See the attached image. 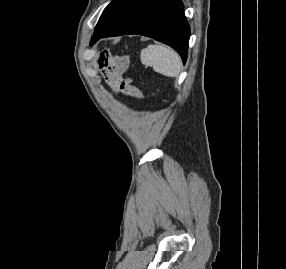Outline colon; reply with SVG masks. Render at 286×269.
Masks as SVG:
<instances>
[{"mask_svg":"<svg viewBox=\"0 0 286 269\" xmlns=\"http://www.w3.org/2000/svg\"><path fill=\"white\" fill-rule=\"evenodd\" d=\"M125 64L118 65V70H123ZM124 88H128L126 90V99L127 100H136L141 97L140 91L136 88V83H124Z\"/></svg>","mask_w":286,"mask_h":269,"instance_id":"colon-1","label":"colon"}]
</instances>
